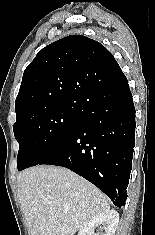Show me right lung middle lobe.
<instances>
[{
    "label": "right lung middle lobe",
    "mask_w": 155,
    "mask_h": 235,
    "mask_svg": "<svg viewBox=\"0 0 155 235\" xmlns=\"http://www.w3.org/2000/svg\"><path fill=\"white\" fill-rule=\"evenodd\" d=\"M16 118L13 131L19 143V171L39 164L81 125L78 108L73 106H42L26 111Z\"/></svg>",
    "instance_id": "right-lung-middle-lobe-1"
}]
</instances>
